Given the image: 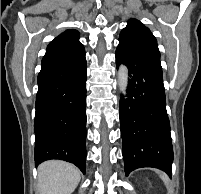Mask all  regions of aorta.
Listing matches in <instances>:
<instances>
[{
  "label": "aorta",
  "mask_w": 201,
  "mask_h": 194,
  "mask_svg": "<svg viewBox=\"0 0 201 194\" xmlns=\"http://www.w3.org/2000/svg\"><path fill=\"white\" fill-rule=\"evenodd\" d=\"M117 77L119 90L123 95H126V89L128 86V69L125 65L119 66Z\"/></svg>",
  "instance_id": "762f6f07"
}]
</instances>
